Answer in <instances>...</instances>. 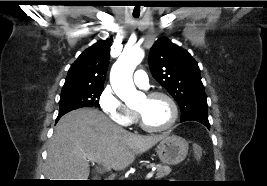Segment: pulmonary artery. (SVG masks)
<instances>
[{
  "instance_id": "1",
  "label": "pulmonary artery",
  "mask_w": 267,
  "mask_h": 186,
  "mask_svg": "<svg viewBox=\"0 0 267 186\" xmlns=\"http://www.w3.org/2000/svg\"><path fill=\"white\" fill-rule=\"evenodd\" d=\"M133 80L135 84L141 88H146L148 86L149 82L148 76L142 70H138L134 73Z\"/></svg>"
}]
</instances>
